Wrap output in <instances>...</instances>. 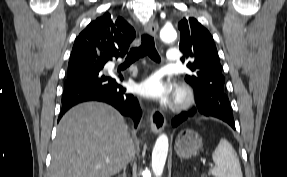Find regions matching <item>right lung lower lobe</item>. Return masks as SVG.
I'll use <instances>...</instances> for the list:
<instances>
[{"instance_id": "obj_1", "label": "right lung lower lobe", "mask_w": 287, "mask_h": 177, "mask_svg": "<svg viewBox=\"0 0 287 177\" xmlns=\"http://www.w3.org/2000/svg\"><path fill=\"white\" fill-rule=\"evenodd\" d=\"M123 56L117 55L115 57ZM102 60L105 61L102 62ZM109 60L112 59L99 57L95 62L81 64L68 69L59 119L74 105L86 101H100L112 105L122 115L132 117L135 126L138 124L142 112L137 98L127 93L126 88L119 82H116L114 76L103 73V67ZM118 79L122 81L123 76H118Z\"/></svg>"}]
</instances>
